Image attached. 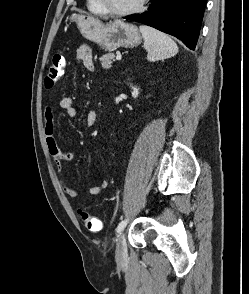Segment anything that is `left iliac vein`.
<instances>
[{"instance_id":"1","label":"left iliac vein","mask_w":249,"mask_h":294,"mask_svg":"<svg viewBox=\"0 0 249 294\" xmlns=\"http://www.w3.org/2000/svg\"><path fill=\"white\" fill-rule=\"evenodd\" d=\"M127 246L125 234L121 233L119 235L116 247V261L118 263H123L127 259Z\"/></svg>"}]
</instances>
